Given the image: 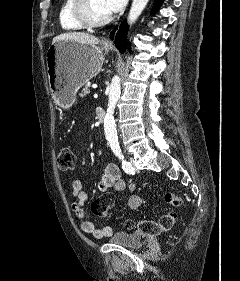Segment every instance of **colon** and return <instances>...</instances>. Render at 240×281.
<instances>
[{
	"label": "colon",
	"instance_id": "5ec220e1",
	"mask_svg": "<svg viewBox=\"0 0 240 281\" xmlns=\"http://www.w3.org/2000/svg\"><path fill=\"white\" fill-rule=\"evenodd\" d=\"M57 164L60 170L62 171H72L76 166V157L74 152L68 148H63L57 158ZM165 201L171 204L174 209L168 211L158 221L152 220H141L137 223L129 221L126 223V226L130 229H138L144 234L148 235H157L163 231L171 229L177 219L176 208H179L184 205V199L174 193L168 192L164 196ZM113 205V198L104 194L97 197L91 204L92 213L99 217H107L110 208Z\"/></svg>",
	"mask_w": 240,
	"mask_h": 281
}]
</instances>
